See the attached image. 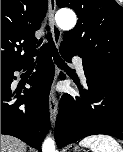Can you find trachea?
Instances as JSON below:
<instances>
[{
    "label": "trachea",
    "instance_id": "1",
    "mask_svg": "<svg viewBox=\"0 0 123 152\" xmlns=\"http://www.w3.org/2000/svg\"><path fill=\"white\" fill-rule=\"evenodd\" d=\"M48 29V27H47ZM46 38L49 40V44H50V47H51V50H52V54H53V57H54V61L55 63L59 66V67H62V68H68L67 65L64 63V61L61 59V57L59 56V53H58V50L56 49L55 47V44L51 38V34L48 33L46 35Z\"/></svg>",
    "mask_w": 123,
    "mask_h": 152
}]
</instances>
